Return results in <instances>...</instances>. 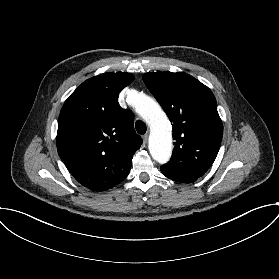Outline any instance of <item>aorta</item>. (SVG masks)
I'll list each match as a JSON object with an SVG mask.
<instances>
[{"label":"aorta","instance_id":"1","mask_svg":"<svg viewBox=\"0 0 279 279\" xmlns=\"http://www.w3.org/2000/svg\"><path fill=\"white\" fill-rule=\"evenodd\" d=\"M139 115L151 129L149 151L160 164L166 163L172 153V127L160 105L151 97L136 95L133 103Z\"/></svg>","mask_w":279,"mask_h":279}]
</instances>
